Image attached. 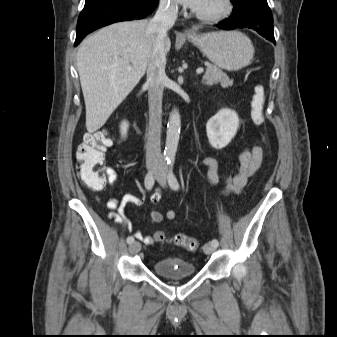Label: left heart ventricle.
<instances>
[{"instance_id":"b2bd125f","label":"left heart ventricle","mask_w":337,"mask_h":337,"mask_svg":"<svg viewBox=\"0 0 337 337\" xmlns=\"http://www.w3.org/2000/svg\"><path fill=\"white\" fill-rule=\"evenodd\" d=\"M220 0H204L202 6L196 10L202 13H212L220 9Z\"/></svg>"}]
</instances>
